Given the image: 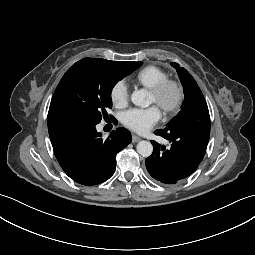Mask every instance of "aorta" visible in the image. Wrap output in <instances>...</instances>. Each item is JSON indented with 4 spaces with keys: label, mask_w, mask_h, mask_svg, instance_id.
<instances>
[{
    "label": "aorta",
    "mask_w": 255,
    "mask_h": 255,
    "mask_svg": "<svg viewBox=\"0 0 255 255\" xmlns=\"http://www.w3.org/2000/svg\"><path fill=\"white\" fill-rule=\"evenodd\" d=\"M131 101L140 107H148L151 104L149 93L144 89L135 90L131 95ZM137 152L143 157H149L153 152V146L149 141H140L137 144Z\"/></svg>",
    "instance_id": "obj_1"
}]
</instances>
